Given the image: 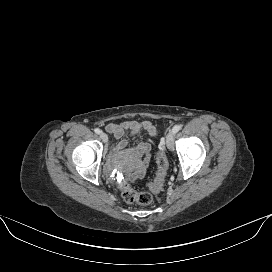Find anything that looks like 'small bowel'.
<instances>
[{
    "instance_id": "c3829d8e",
    "label": "small bowel",
    "mask_w": 272,
    "mask_h": 272,
    "mask_svg": "<svg viewBox=\"0 0 272 272\" xmlns=\"http://www.w3.org/2000/svg\"><path fill=\"white\" fill-rule=\"evenodd\" d=\"M106 130L118 141L114 147L115 152L126 150L130 155L141 159V166L135 173L136 176H141L149 165L152 144L159 133L158 128L149 121H125L109 123L106 125ZM127 133L131 135L144 133L147 138L136 148L127 150L128 140L124 138Z\"/></svg>"
}]
</instances>
